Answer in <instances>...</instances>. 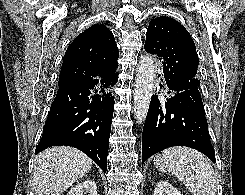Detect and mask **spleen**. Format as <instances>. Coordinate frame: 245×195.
<instances>
[{"label":"spleen","mask_w":245,"mask_h":195,"mask_svg":"<svg viewBox=\"0 0 245 195\" xmlns=\"http://www.w3.org/2000/svg\"><path fill=\"white\" fill-rule=\"evenodd\" d=\"M161 172L178 178L192 195H215L216 178L210 160L197 150L171 147L154 157Z\"/></svg>","instance_id":"spleen-1"}]
</instances>
